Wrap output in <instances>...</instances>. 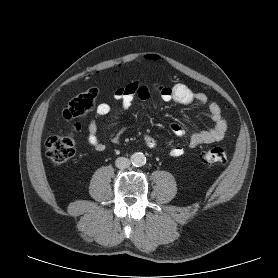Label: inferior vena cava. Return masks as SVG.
<instances>
[{"label":"inferior vena cava","mask_w":278,"mask_h":278,"mask_svg":"<svg viewBox=\"0 0 278 278\" xmlns=\"http://www.w3.org/2000/svg\"><path fill=\"white\" fill-rule=\"evenodd\" d=\"M115 165L119 169H126L130 166V160L125 157H118L115 161Z\"/></svg>","instance_id":"1"}]
</instances>
